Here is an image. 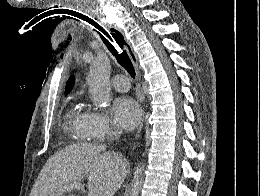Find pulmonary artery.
I'll return each instance as SVG.
<instances>
[{
  "label": "pulmonary artery",
  "mask_w": 260,
  "mask_h": 196,
  "mask_svg": "<svg viewBox=\"0 0 260 196\" xmlns=\"http://www.w3.org/2000/svg\"><path fill=\"white\" fill-rule=\"evenodd\" d=\"M128 76H114L113 79H107V84H128ZM113 90L127 91L128 85H113Z\"/></svg>",
  "instance_id": "pulmonary-artery-1"
}]
</instances>
